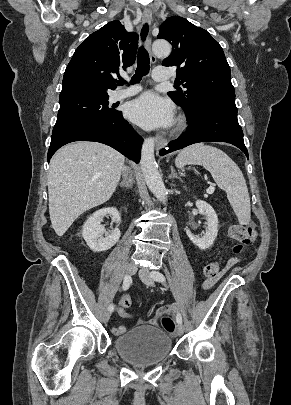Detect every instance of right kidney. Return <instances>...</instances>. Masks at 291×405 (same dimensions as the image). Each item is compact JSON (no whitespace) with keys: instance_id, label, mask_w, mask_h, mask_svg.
I'll list each match as a JSON object with an SVG mask.
<instances>
[{"instance_id":"obj_1","label":"right kidney","mask_w":291,"mask_h":405,"mask_svg":"<svg viewBox=\"0 0 291 405\" xmlns=\"http://www.w3.org/2000/svg\"><path fill=\"white\" fill-rule=\"evenodd\" d=\"M110 215L113 222L120 223V214L114 207L103 208L92 214L85 222L82 229V236L88 247L94 252H102L113 247L120 238L118 225L108 234L105 227L101 225L103 217ZM105 235V237H103Z\"/></svg>"}]
</instances>
